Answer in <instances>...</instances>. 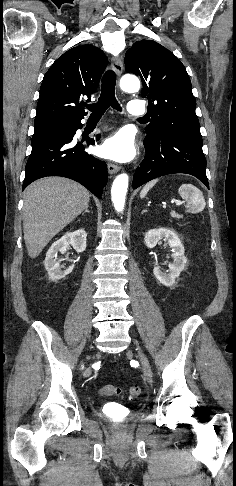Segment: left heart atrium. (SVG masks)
<instances>
[{
	"instance_id": "1",
	"label": "left heart atrium",
	"mask_w": 236,
	"mask_h": 486,
	"mask_svg": "<svg viewBox=\"0 0 236 486\" xmlns=\"http://www.w3.org/2000/svg\"><path fill=\"white\" fill-rule=\"evenodd\" d=\"M100 154L114 161L127 162L136 155V147L131 136L120 131L103 142Z\"/></svg>"
}]
</instances>
